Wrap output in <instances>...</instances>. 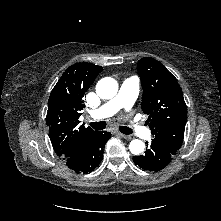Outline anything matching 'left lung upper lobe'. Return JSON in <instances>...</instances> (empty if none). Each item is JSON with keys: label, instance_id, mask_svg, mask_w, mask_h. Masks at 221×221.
Instances as JSON below:
<instances>
[{"label": "left lung upper lobe", "instance_id": "obj_1", "mask_svg": "<svg viewBox=\"0 0 221 221\" xmlns=\"http://www.w3.org/2000/svg\"><path fill=\"white\" fill-rule=\"evenodd\" d=\"M143 88L141 108L149 116L147 124L156 147L176 154L183 142L187 108L177 79L157 60L138 61Z\"/></svg>", "mask_w": 221, "mask_h": 221}]
</instances>
